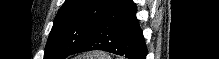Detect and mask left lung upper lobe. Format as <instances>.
Masks as SVG:
<instances>
[{
  "label": "left lung upper lobe",
  "mask_w": 219,
  "mask_h": 59,
  "mask_svg": "<svg viewBox=\"0 0 219 59\" xmlns=\"http://www.w3.org/2000/svg\"><path fill=\"white\" fill-rule=\"evenodd\" d=\"M112 0H66L51 29L44 59H65L94 31Z\"/></svg>",
  "instance_id": "1"
}]
</instances>
